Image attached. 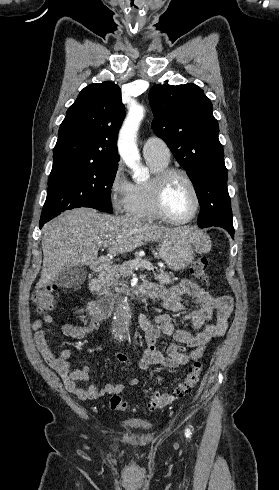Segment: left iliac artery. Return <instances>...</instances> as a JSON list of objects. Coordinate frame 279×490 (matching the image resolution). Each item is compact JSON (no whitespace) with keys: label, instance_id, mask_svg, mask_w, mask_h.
I'll return each instance as SVG.
<instances>
[{"label":"left iliac artery","instance_id":"1","mask_svg":"<svg viewBox=\"0 0 279 490\" xmlns=\"http://www.w3.org/2000/svg\"><path fill=\"white\" fill-rule=\"evenodd\" d=\"M190 430L187 429V432L185 433L186 437H189L190 436Z\"/></svg>","mask_w":279,"mask_h":490}]
</instances>
